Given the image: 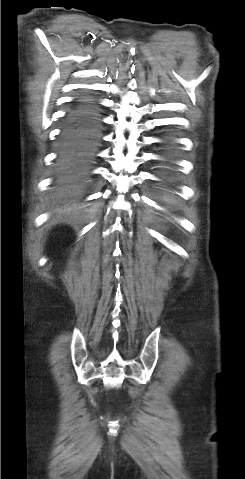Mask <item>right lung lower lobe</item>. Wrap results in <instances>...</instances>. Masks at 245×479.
<instances>
[{"instance_id": "98d812e1", "label": "right lung lower lobe", "mask_w": 245, "mask_h": 479, "mask_svg": "<svg viewBox=\"0 0 245 479\" xmlns=\"http://www.w3.org/2000/svg\"><path fill=\"white\" fill-rule=\"evenodd\" d=\"M102 132L98 103L79 97L67 111L59 140L54 178L55 191L77 200L82 195L93 164Z\"/></svg>"}]
</instances>
